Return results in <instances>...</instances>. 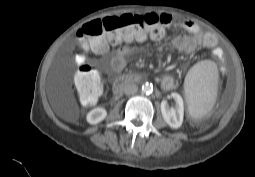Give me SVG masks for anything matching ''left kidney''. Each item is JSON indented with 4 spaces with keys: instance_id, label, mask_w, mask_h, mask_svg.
<instances>
[{
    "instance_id": "left-kidney-1",
    "label": "left kidney",
    "mask_w": 255,
    "mask_h": 177,
    "mask_svg": "<svg viewBox=\"0 0 255 177\" xmlns=\"http://www.w3.org/2000/svg\"><path fill=\"white\" fill-rule=\"evenodd\" d=\"M171 97L175 101V107H169L167 101L161 102V112L165 122L173 129L182 125L184 116L183 99L178 93H172Z\"/></svg>"
}]
</instances>
